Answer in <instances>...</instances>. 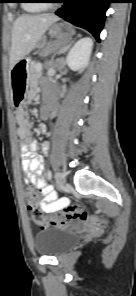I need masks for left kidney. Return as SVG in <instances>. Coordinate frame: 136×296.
Listing matches in <instances>:
<instances>
[{"instance_id":"left-kidney-1","label":"left kidney","mask_w":136,"mask_h":296,"mask_svg":"<svg viewBox=\"0 0 136 296\" xmlns=\"http://www.w3.org/2000/svg\"><path fill=\"white\" fill-rule=\"evenodd\" d=\"M93 49V41L89 37H84L77 41L68 52L66 63L73 71L81 73L89 64Z\"/></svg>"}]
</instances>
